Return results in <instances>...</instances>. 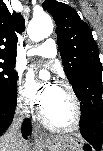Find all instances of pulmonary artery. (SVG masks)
Wrapping results in <instances>:
<instances>
[{"mask_svg": "<svg viewBox=\"0 0 103 151\" xmlns=\"http://www.w3.org/2000/svg\"><path fill=\"white\" fill-rule=\"evenodd\" d=\"M28 56H41L46 58H55L57 55L56 42L49 38L45 40L41 45L29 49L27 52Z\"/></svg>", "mask_w": 103, "mask_h": 151, "instance_id": "obj_1", "label": "pulmonary artery"}]
</instances>
